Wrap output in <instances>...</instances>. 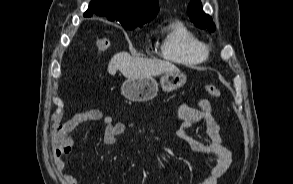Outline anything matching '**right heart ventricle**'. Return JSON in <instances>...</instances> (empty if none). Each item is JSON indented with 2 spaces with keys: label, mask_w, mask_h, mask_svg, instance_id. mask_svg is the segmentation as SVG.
I'll use <instances>...</instances> for the list:
<instances>
[{
  "label": "right heart ventricle",
  "mask_w": 293,
  "mask_h": 184,
  "mask_svg": "<svg viewBox=\"0 0 293 184\" xmlns=\"http://www.w3.org/2000/svg\"><path fill=\"white\" fill-rule=\"evenodd\" d=\"M160 55L183 65H198L208 57L205 43L182 22L168 24L164 29Z\"/></svg>",
  "instance_id": "e07e8e85"
}]
</instances>
